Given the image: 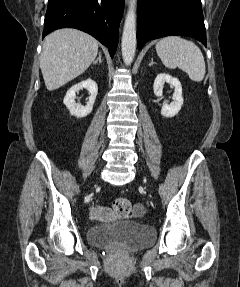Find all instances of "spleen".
Returning a JSON list of instances; mask_svg holds the SVG:
<instances>
[{"label":"spleen","mask_w":240,"mask_h":287,"mask_svg":"<svg viewBox=\"0 0 240 287\" xmlns=\"http://www.w3.org/2000/svg\"><path fill=\"white\" fill-rule=\"evenodd\" d=\"M155 48L165 67H178L186 72L192 81L203 80L206 72L205 61L195 43L179 36H168L160 39Z\"/></svg>","instance_id":"3e777b00"}]
</instances>
